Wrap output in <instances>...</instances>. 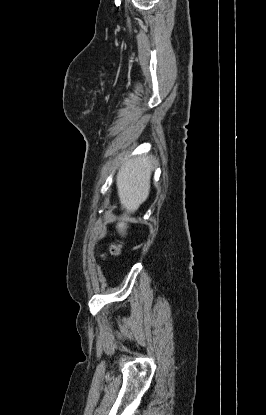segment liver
I'll return each mask as SVG.
<instances>
[{
	"mask_svg": "<svg viewBox=\"0 0 266 415\" xmlns=\"http://www.w3.org/2000/svg\"><path fill=\"white\" fill-rule=\"evenodd\" d=\"M154 164L155 160L152 156L144 155L123 163L118 171L116 177L118 196L122 209H125L123 220L116 226L121 236L126 234L129 214L138 210L148 198Z\"/></svg>",
	"mask_w": 266,
	"mask_h": 415,
	"instance_id": "obj_1",
	"label": "liver"
}]
</instances>
